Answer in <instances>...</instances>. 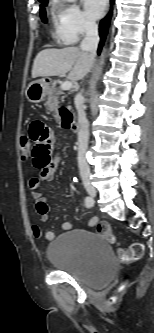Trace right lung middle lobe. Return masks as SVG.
<instances>
[{
  "mask_svg": "<svg viewBox=\"0 0 154 333\" xmlns=\"http://www.w3.org/2000/svg\"><path fill=\"white\" fill-rule=\"evenodd\" d=\"M40 2H43V4L41 5L40 7V10H41V18H42V21L43 22H46L47 19H46V12H45V9H44V6L47 5V0L46 1H40Z\"/></svg>",
  "mask_w": 154,
  "mask_h": 333,
  "instance_id": "right-lung-middle-lobe-1",
  "label": "right lung middle lobe"
}]
</instances>
